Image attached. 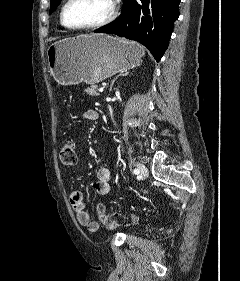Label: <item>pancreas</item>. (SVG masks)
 Segmentation results:
<instances>
[{
  "label": "pancreas",
  "mask_w": 240,
  "mask_h": 281,
  "mask_svg": "<svg viewBox=\"0 0 240 281\" xmlns=\"http://www.w3.org/2000/svg\"><path fill=\"white\" fill-rule=\"evenodd\" d=\"M85 92H86V95H89V96H98L99 95L97 85H92L91 87H88L87 89H85Z\"/></svg>",
  "instance_id": "obj_1"
}]
</instances>
